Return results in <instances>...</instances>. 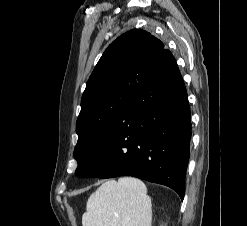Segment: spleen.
<instances>
[{
  "mask_svg": "<svg viewBox=\"0 0 247 226\" xmlns=\"http://www.w3.org/2000/svg\"><path fill=\"white\" fill-rule=\"evenodd\" d=\"M146 185L133 177L103 183L88 199L83 226H151Z\"/></svg>",
  "mask_w": 247,
  "mask_h": 226,
  "instance_id": "spleen-1",
  "label": "spleen"
}]
</instances>
